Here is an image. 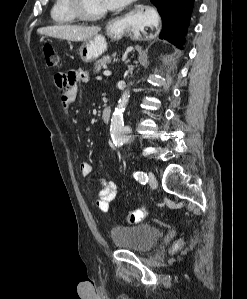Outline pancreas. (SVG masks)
Listing matches in <instances>:
<instances>
[{"instance_id": "cf45deb5", "label": "pancreas", "mask_w": 247, "mask_h": 299, "mask_svg": "<svg viewBox=\"0 0 247 299\" xmlns=\"http://www.w3.org/2000/svg\"><path fill=\"white\" fill-rule=\"evenodd\" d=\"M110 62H111V57L110 56H108V55L103 56L102 58H100L99 60H97L95 62L94 71L97 72V73L100 72V70L102 68L106 67V65Z\"/></svg>"}]
</instances>
